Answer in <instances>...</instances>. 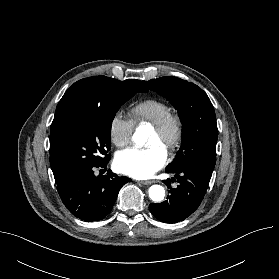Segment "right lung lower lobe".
I'll return each instance as SVG.
<instances>
[{
	"mask_svg": "<svg viewBox=\"0 0 279 279\" xmlns=\"http://www.w3.org/2000/svg\"><path fill=\"white\" fill-rule=\"evenodd\" d=\"M100 166H87L70 174L57 182L58 193L66 208L77 218L92 222L103 219L111 212L121 187L130 178L110 175L95 176L96 168Z\"/></svg>",
	"mask_w": 279,
	"mask_h": 279,
	"instance_id": "1",
	"label": "right lung lower lobe"
}]
</instances>
